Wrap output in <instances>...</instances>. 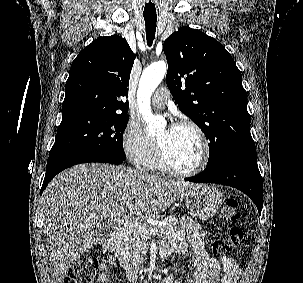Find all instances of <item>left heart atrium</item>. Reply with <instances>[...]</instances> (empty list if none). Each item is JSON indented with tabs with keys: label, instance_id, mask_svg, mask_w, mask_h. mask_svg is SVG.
Here are the masks:
<instances>
[{
	"label": "left heart atrium",
	"instance_id": "left-heart-atrium-1",
	"mask_svg": "<svg viewBox=\"0 0 303 283\" xmlns=\"http://www.w3.org/2000/svg\"><path fill=\"white\" fill-rule=\"evenodd\" d=\"M173 126L168 127V130H170Z\"/></svg>",
	"mask_w": 303,
	"mask_h": 283
}]
</instances>
